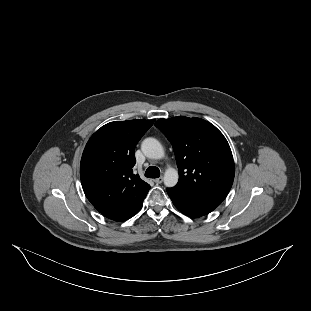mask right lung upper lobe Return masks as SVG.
Listing matches in <instances>:
<instances>
[{
  "instance_id": "1",
  "label": "right lung upper lobe",
  "mask_w": 311,
  "mask_h": 311,
  "mask_svg": "<svg viewBox=\"0 0 311 311\" xmlns=\"http://www.w3.org/2000/svg\"><path fill=\"white\" fill-rule=\"evenodd\" d=\"M155 120L110 122L89 139L80 163L83 190L91 204L114 221L131 218L150 185L133 174L135 147Z\"/></svg>"
}]
</instances>
